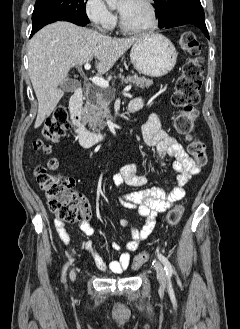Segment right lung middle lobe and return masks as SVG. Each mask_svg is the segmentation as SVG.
Instances as JSON below:
<instances>
[{
  "mask_svg": "<svg viewBox=\"0 0 240 329\" xmlns=\"http://www.w3.org/2000/svg\"><path fill=\"white\" fill-rule=\"evenodd\" d=\"M87 0H36L32 21L43 17H58L89 23L85 7Z\"/></svg>",
  "mask_w": 240,
  "mask_h": 329,
  "instance_id": "right-lung-middle-lobe-1",
  "label": "right lung middle lobe"
}]
</instances>
